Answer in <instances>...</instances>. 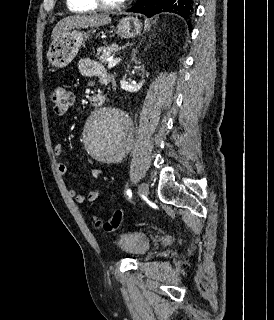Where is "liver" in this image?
Returning a JSON list of instances; mask_svg holds the SVG:
<instances>
[{
	"instance_id": "obj_1",
	"label": "liver",
	"mask_w": 274,
	"mask_h": 320,
	"mask_svg": "<svg viewBox=\"0 0 274 320\" xmlns=\"http://www.w3.org/2000/svg\"><path fill=\"white\" fill-rule=\"evenodd\" d=\"M111 18L109 16H100V14H90V16H84V14H78V16H68L63 18L52 32V40H57L58 36L66 30H75V28H98V26H107L110 24Z\"/></svg>"
}]
</instances>
